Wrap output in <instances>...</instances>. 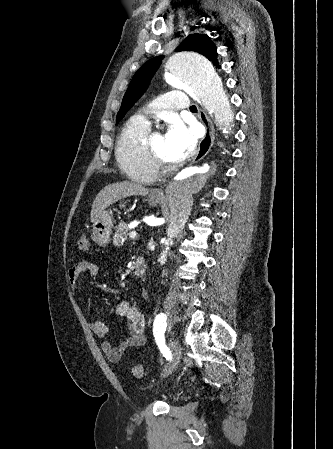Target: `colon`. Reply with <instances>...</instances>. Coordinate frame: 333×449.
Returning <instances> with one entry per match:
<instances>
[{
	"mask_svg": "<svg viewBox=\"0 0 333 449\" xmlns=\"http://www.w3.org/2000/svg\"><path fill=\"white\" fill-rule=\"evenodd\" d=\"M78 246H79V249L81 251H83V252H86V251L89 250V248H90V238H89V236L86 233H83V234L80 235V237L78 239ZM132 371H133V375L136 378H141L145 374V370H144L143 366L140 365V364L135 365L133 367Z\"/></svg>",
	"mask_w": 333,
	"mask_h": 449,
	"instance_id": "5ec220e1",
	"label": "colon"
}]
</instances>
